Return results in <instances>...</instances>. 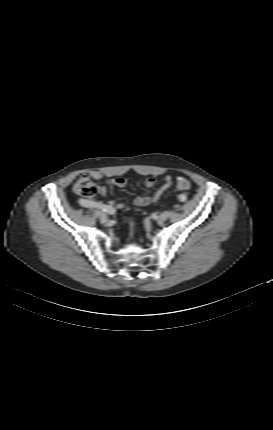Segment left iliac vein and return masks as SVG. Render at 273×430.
<instances>
[{"label":"left iliac vein","instance_id":"obj_1","mask_svg":"<svg viewBox=\"0 0 273 430\" xmlns=\"http://www.w3.org/2000/svg\"><path fill=\"white\" fill-rule=\"evenodd\" d=\"M169 212L168 211H165V212H162L159 216H158V220L159 221H165V220H167V218L169 217Z\"/></svg>","mask_w":273,"mask_h":430}]
</instances>
